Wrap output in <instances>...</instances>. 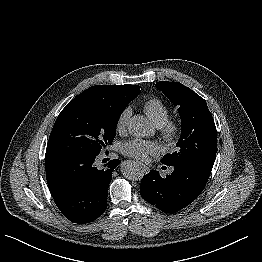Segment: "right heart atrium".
Masks as SVG:
<instances>
[{
  "label": "right heart atrium",
  "instance_id": "obj_1",
  "mask_svg": "<svg viewBox=\"0 0 262 262\" xmlns=\"http://www.w3.org/2000/svg\"><path fill=\"white\" fill-rule=\"evenodd\" d=\"M131 114H132V109L129 106L121 111L116 122V129L118 132H123L126 129Z\"/></svg>",
  "mask_w": 262,
  "mask_h": 262
}]
</instances>
